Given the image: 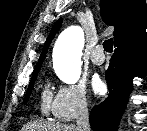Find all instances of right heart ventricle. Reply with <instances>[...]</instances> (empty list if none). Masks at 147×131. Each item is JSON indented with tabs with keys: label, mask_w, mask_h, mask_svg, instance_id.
I'll return each instance as SVG.
<instances>
[{
	"label": "right heart ventricle",
	"mask_w": 147,
	"mask_h": 131,
	"mask_svg": "<svg viewBox=\"0 0 147 131\" xmlns=\"http://www.w3.org/2000/svg\"><path fill=\"white\" fill-rule=\"evenodd\" d=\"M52 108V93L48 86H45L41 93L40 109L43 114H48Z\"/></svg>",
	"instance_id": "obj_1"
}]
</instances>
